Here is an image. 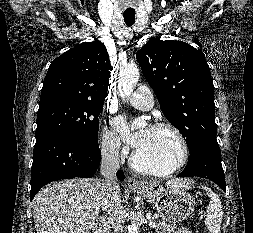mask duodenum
Masks as SVG:
<instances>
[{"mask_svg": "<svg viewBox=\"0 0 253 233\" xmlns=\"http://www.w3.org/2000/svg\"><path fill=\"white\" fill-rule=\"evenodd\" d=\"M108 227L107 221L103 220L98 224V233H106Z\"/></svg>", "mask_w": 253, "mask_h": 233, "instance_id": "1", "label": "duodenum"}]
</instances>
